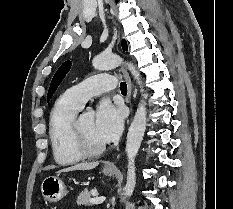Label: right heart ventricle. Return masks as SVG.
I'll return each instance as SVG.
<instances>
[{"instance_id":"e07e8e85","label":"right heart ventricle","mask_w":233,"mask_h":209,"mask_svg":"<svg viewBox=\"0 0 233 209\" xmlns=\"http://www.w3.org/2000/svg\"><path fill=\"white\" fill-rule=\"evenodd\" d=\"M80 107L71 102L66 93L54 104L49 118V139L55 162L59 165H72L82 156L74 149L72 125Z\"/></svg>"}]
</instances>
